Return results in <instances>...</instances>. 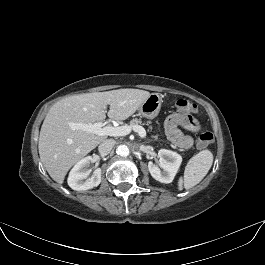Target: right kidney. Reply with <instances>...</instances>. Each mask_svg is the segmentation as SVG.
Wrapping results in <instances>:
<instances>
[{
    "label": "right kidney",
    "instance_id": "ca27d5eb",
    "mask_svg": "<svg viewBox=\"0 0 265 265\" xmlns=\"http://www.w3.org/2000/svg\"><path fill=\"white\" fill-rule=\"evenodd\" d=\"M94 162L92 156H87L78 161L71 169L68 177V185L76 191H84L97 187L101 183V169L94 170L91 177L90 163ZM89 177V178H88Z\"/></svg>",
    "mask_w": 265,
    "mask_h": 265
}]
</instances>
